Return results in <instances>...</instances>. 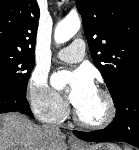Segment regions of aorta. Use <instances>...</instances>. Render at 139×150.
I'll return each mask as SVG.
<instances>
[{"mask_svg":"<svg viewBox=\"0 0 139 150\" xmlns=\"http://www.w3.org/2000/svg\"><path fill=\"white\" fill-rule=\"evenodd\" d=\"M81 21L78 15H69L58 23L54 32L57 44L70 40L80 29Z\"/></svg>","mask_w":139,"mask_h":150,"instance_id":"aorta-1","label":"aorta"}]
</instances>
